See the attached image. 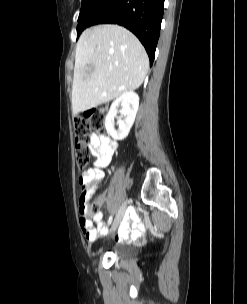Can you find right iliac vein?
<instances>
[{
    "instance_id": "1",
    "label": "right iliac vein",
    "mask_w": 247,
    "mask_h": 304,
    "mask_svg": "<svg viewBox=\"0 0 247 304\" xmlns=\"http://www.w3.org/2000/svg\"><path fill=\"white\" fill-rule=\"evenodd\" d=\"M126 210V201L120 206V208L117 211V214L115 216L113 225H112V232L116 230L118 227L119 223L121 222ZM101 252V250L99 251Z\"/></svg>"
}]
</instances>
